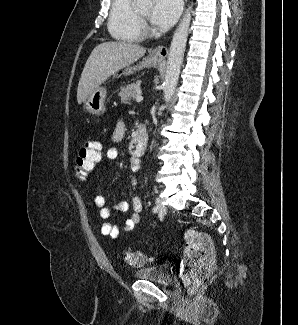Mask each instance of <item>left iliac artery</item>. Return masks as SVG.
Segmentation results:
<instances>
[{
	"mask_svg": "<svg viewBox=\"0 0 298 325\" xmlns=\"http://www.w3.org/2000/svg\"><path fill=\"white\" fill-rule=\"evenodd\" d=\"M153 212H154V213L158 212V208H157V206H154V207H153Z\"/></svg>",
	"mask_w": 298,
	"mask_h": 325,
	"instance_id": "1",
	"label": "left iliac artery"
}]
</instances>
